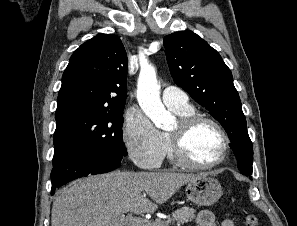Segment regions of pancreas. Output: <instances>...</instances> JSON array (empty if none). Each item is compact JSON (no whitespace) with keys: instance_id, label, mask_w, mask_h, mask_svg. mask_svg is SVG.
I'll use <instances>...</instances> for the list:
<instances>
[{"instance_id":"pancreas-1","label":"pancreas","mask_w":297,"mask_h":226,"mask_svg":"<svg viewBox=\"0 0 297 226\" xmlns=\"http://www.w3.org/2000/svg\"><path fill=\"white\" fill-rule=\"evenodd\" d=\"M195 210L189 207H182L171 214L167 220L156 219L150 226H169V224L177 223L180 226L183 223L192 221L195 218Z\"/></svg>"}]
</instances>
